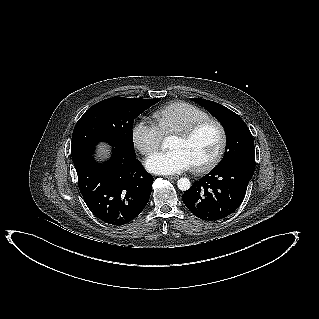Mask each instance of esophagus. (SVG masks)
I'll list each match as a JSON object with an SVG mask.
<instances>
[{
	"mask_svg": "<svg viewBox=\"0 0 319 319\" xmlns=\"http://www.w3.org/2000/svg\"><path fill=\"white\" fill-rule=\"evenodd\" d=\"M179 176L177 175H166L165 178L167 179H177Z\"/></svg>",
	"mask_w": 319,
	"mask_h": 319,
	"instance_id": "esophagus-1",
	"label": "esophagus"
}]
</instances>
